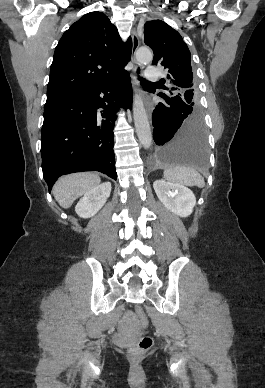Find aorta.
<instances>
[{
    "instance_id": "1",
    "label": "aorta",
    "mask_w": 265,
    "mask_h": 388,
    "mask_svg": "<svg viewBox=\"0 0 265 388\" xmlns=\"http://www.w3.org/2000/svg\"><path fill=\"white\" fill-rule=\"evenodd\" d=\"M152 59L153 54L148 48L142 47L137 50L136 60L139 64H148ZM133 117L139 141L145 149H148L152 143L151 128L143 101L138 95H135L133 101Z\"/></svg>"
}]
</instances>
